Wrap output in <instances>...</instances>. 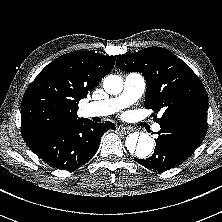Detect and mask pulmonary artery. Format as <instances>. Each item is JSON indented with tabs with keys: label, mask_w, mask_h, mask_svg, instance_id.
Here are the masks:
<instances>
[{
	"label": "pulmonary artery",
	"mask_w": 222,
	"mask_h": 222,
	"mask_svg": "<svg viewBox=\"0 0 222 222\" xmlns=\"http://www.w3.org/2000/svg\"><path fill=\"white\" fill-rule=\"evenodd\" d=\"M145 90V79L139 73H129L125 76L123 91L119 96L106 100L95 101L84 107L86 116H107L133 104ZM154 131L160 130V125L155 124Z\"/></svg>",
	"instance_id": "pulmonary-artery-1"
}]
</instances>
